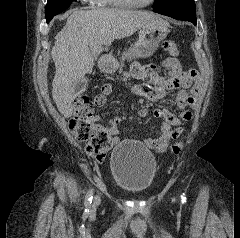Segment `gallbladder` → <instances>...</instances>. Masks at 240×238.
I'll return each instance as SVG.
<instances>
[{"label": "gallbladder", "instance_id": "gallbladder-1", "mask_svg": "<svg viewBox=\"0 0 240 238\" xmlns=\"http://www.w3.org/2000/svg\"><path fill=\"white\" fill-rule=\"evenodd\" d=\"M84 82L80 81L75 84V92L77 93L79 90L83 89Z\"/></svg>", "mask_w": 240, "mask_h": 238}]
</instances>
